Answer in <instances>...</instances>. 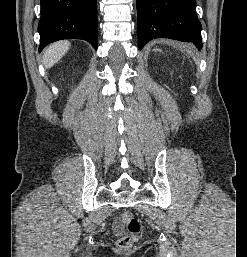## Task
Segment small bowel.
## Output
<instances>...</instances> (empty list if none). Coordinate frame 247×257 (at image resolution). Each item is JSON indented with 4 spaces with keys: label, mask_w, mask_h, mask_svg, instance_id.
Masks as SVG:
<instances>
[{
    "label": "small bowel",
    "mask_w": 247,
    "mask_h": 257,
    "mask_svg": "<svg viewBox=\"0 0 247 257\" xmlns=\"http://www.w3.org/2000/svg\"><path fill=\"white\" fill-rule=\"evenodd\" d=\"M114 230L115 232L117 233H121L123 231V226H122V223L119 221V220H116L114 222Z\"/></svg>",
    "instance_id": "small-bowel-1"
}]
</instances>
